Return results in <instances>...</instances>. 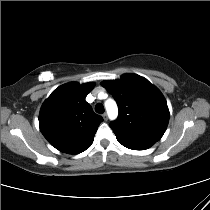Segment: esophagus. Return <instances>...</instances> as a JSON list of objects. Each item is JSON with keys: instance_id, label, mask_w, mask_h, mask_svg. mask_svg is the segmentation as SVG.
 Wrapping results in <instances>:
<instances>
[{"instance_id": "obj_1", "label": "esophagus", "mask_w": 210, "mask_h": 210, "mask_svg": "<svg viewBox=\"0 0 210 210\" xmlns=\"http://www.w3.org/2000/svg\"><path fill=\"white\" fill-rule=\"evenodd\" d=\"M102 117H103L104 121H107V120H108V115H107L106 113H104V114L102 115Z\"/></svg>"}]
</instances>
